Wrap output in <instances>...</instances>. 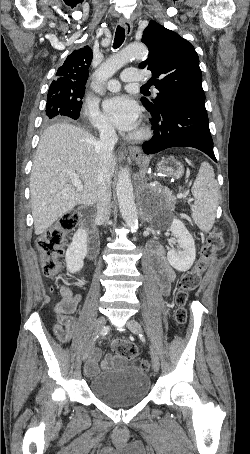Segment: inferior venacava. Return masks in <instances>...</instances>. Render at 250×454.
<instances>
[{
  "label": "inferior vena cava",
  "instance_id": "obj_1",
  "mask_svg": "<svg viewBox=\"0 0 250 454\" xmlns=\"http://www.w3.org/2000/svg\"><path fill=\"white\" fill-rule=\"evenodd\" d=\"M117 140L112 126L105 124L100 128L97 219L103 224L109 220L111 214V162Z\"/></svg>",
  "mask_w": 250,
  "mask_h": 454
}]
</instances>
